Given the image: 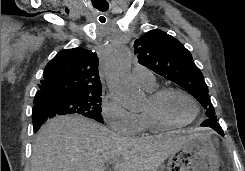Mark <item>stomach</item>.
I'll list each match as a JSON object with an SVG mask.
<instances>
[{
	"mask_svg": "<svg viewBox=\"0 0 245 171\" xmlns=\"http://www.w3.org/2000/svg\"><path fill=\"white\" fill-rule=\"evenodd\" d=\"M218 139L211 132H198L170 154L168 171H219ZM158 171H163L159 169Z\"/></svg>",
	"mask_w": 245,
	"mask_h": 171,
	"instance_id": "0dacf381",
	"label": "stomach"
}]
</instances>
